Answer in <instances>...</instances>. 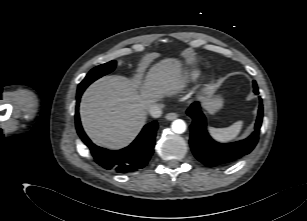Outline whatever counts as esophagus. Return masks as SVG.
I'll return each mask as SVG.
<instances>
[{
    "instance_id": "34e87169",
    "label": "esophagus",
    "mask_w": 307,
    "mask_h": 221,
    "mask_svg": "<svg viewBox=\"0 0 307 221\" xmlns=\"http://www.w3.org/2000/svg\"><path fill=\"white\" fill-rule=\"evenodd\" d=\"M178 117V115L176 114V113H168L166 116H165V118L167 119V120H174V119H176Z\"/></svg>"
}]
</instances>
